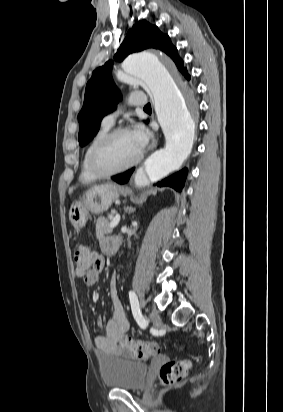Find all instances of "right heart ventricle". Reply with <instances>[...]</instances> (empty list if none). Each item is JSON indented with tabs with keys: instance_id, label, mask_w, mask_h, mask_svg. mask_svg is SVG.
I'll list each match as a JSON object with an SVG mask.
<instances>
[{
	"instance_id": "e07e8e85",
	"label": "right heart ventricle",
	"mask_w": 283,
	"mask_h": 412,
	"mask_svg": "<svg viewBox=\"0 0 283 412\" xmlns=\"http://www.w3.org/2000/svg\"><path fill=\"white\" fill-rule=\"evenodd\" d=\"M110 127L102 125L100 129L93 135L88 142L82 156L80 167V179L84 182L93 181L96 179L89 165L90 153L94 145L109 131Z\"/></svg>"
}]
</instances>
